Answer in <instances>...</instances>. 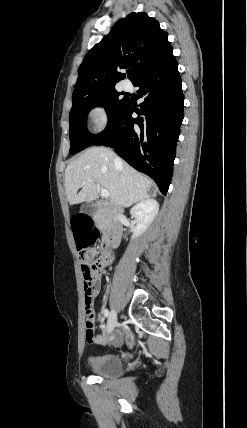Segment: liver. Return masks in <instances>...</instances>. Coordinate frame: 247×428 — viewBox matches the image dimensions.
Instances as JSON below:
<instances>
[{
  "instance_id": "obj_1",
  "label": "liver",
  "mask_w": 247,
  "mask_h": 428,
  "mask_svg": "<svg viewBox=\"0 0 247 428\" xmlns=\"http://www.w3.org/2000/svg\"><path fill=\"white\" fill-rule=\"evenodd\" d=\"M106 147H92L71 162L65 170V189L70 205L94 201L100 187L109 191L110 201L129 207L148 199L154 183L119 159ZM80 192H78V190Z\"/></svg>"
}]
</instances>
